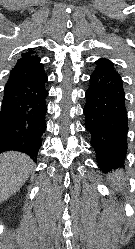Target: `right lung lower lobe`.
<instances>
[{"label":"right lung lower lobe","mask_w":135,"mask_h":249,"mask_svg":"<svg viewBox=\"0 0 135 249\" xmlns=\"http://www.w3.org/2000/svg\"><path fill=\"white\" fill-rule=\"evenodd\" d=\"M48 77L7 82L0 109V153L19 151L36 161L46 129Z\"/></svg>","instance_id":"obj_1"}]
</instances>
